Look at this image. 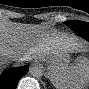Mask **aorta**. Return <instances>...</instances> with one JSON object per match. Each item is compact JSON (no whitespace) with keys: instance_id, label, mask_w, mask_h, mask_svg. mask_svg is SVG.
Wrapping results in <instances>:
<instances>
[{"instance_id":"1","label":"aorta","mask_w":89,"mask_h":89,"mask_svg":"<svg viewBox=\"0 0 89 89\" xmlns=\"http://www.w3.org/2000/svg\"><path fill=\"white\" fill-rule=\"evenodd\" d=\"M43 72H44L43 66L40 64H33L29 68V73L33 77H40L43 75Z\"/></svg>"}]
</instances>
